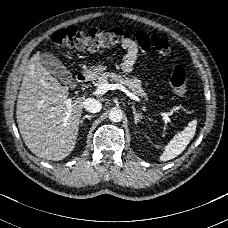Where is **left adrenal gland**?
I'll use <instances>...</instances> for the list:
<instances>
[{"label":"left adrenal gland","instance_id":"1","mask_svg":"<svg viewBox=\"0 0 228 228\" xmlns=\"http://www.w3.org/2000/svg\"><path fill=\"white\" fill-rule=\"evenodd\" d=\"M132 109H133V115L135 116V123L137 124V125H139L140 124V122H141V118L137 115V111H136V109H135V107L132 105Z\"/></svg>","mask_w":228,"mask_h":228}]
</instances>
